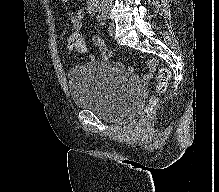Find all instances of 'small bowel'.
I'll use <instances>...</instances> for the list:
<instances>
[{
	"label": "small bowel",
	"mask_w": 219,
	"mask_h": 192,
	"mask_svg": "<svg viewBox=\"0 0 219 192\" xmlns=\"http://www.w3.org/2000/svg\"><path fill=\"white\" fill-rule=\"evenodd\" d=\"M97 9V5L95 3L94 0H89L88 1V11L91 15L95 14ZM85 16V12L83 9H78L77 12L71 16V24H72V28H73V32L68 40V44L72 41H74L75 39H81L84 43V36L82 33L83 30V24H82V20ZM92 42L94 45H96L101 53V57H100V61L102 62H108L111 58V53L108 50V48L106 47L104 40L101 36L96 35L92 38ZM68 44L66 46V51L69 52L68 50ZM156 61L153 59L148 60L147 62V67H148V72H146L143 76L142 79L145 81H149L152 76H153V71L156 68Z\"/></svg>",
	"instance_id": "small-bowel-1"
}]
</instances>
